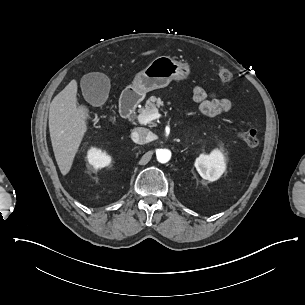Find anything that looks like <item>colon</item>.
<instances>
[{
    "instance_id": "5ec220e1",
    "label": "colon",
    "mask_w": 305,
    "mask_h": 305,
    "mask_svg": "<svg viewBox=\"0 0 305 305\" xmlns=\"http://www.w3.org/2000/svg\"><path fill=\"white\" fill-rule=\"evenodd\" d=\"M217 81L223 85H228L232 81L231 71L223 65L216 66ZM237 137L244 143L255 147L260 143L259 132L255 129L248 131H238Z\"/></svg>"
}]
</instances>
